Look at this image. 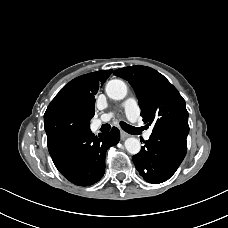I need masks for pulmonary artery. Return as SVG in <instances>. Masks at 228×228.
<instances>
[{
  "label": "pulmonary artery",
  "mask_w": 228,
  "mask_h": 228,
  "mask_svg": "<svg viewBox=\"0 0 228 228\" xmlns=\"http://www.w3.org/2000/svg\"><path fill=\"white\" fill-rule=\"evenodd\" d=\"M123 107L125 109V113H126L128 119L131 122H136L140 115V109H139L136 99L128 98L127 100H125L123 102ZM113 115H114L113 112H109V113L104 114L101 119L105 121V120L110 119ZM151 134H152V130L149 129L144 133L143 138L145 140H149L151 137Z\"/></svg>",
  "instance_id": "pulmonary-artery-1"
}]
</instances>
